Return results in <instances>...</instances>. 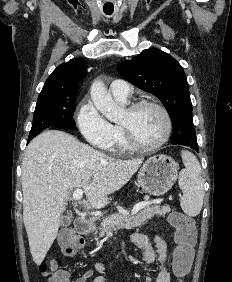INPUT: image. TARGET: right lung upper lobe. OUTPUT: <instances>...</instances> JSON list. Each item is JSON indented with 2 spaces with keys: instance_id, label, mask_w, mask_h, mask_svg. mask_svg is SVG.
Here are the masks:
<instances>
[{
  "instance_id": "right-lung-upper-lobe-1",
  "label": "right lung upper lobe",
  "mask_w": 232,
  "mask_h": 282,
  "mask_svg": "<svg viewBox=\"0 0 232 282\" xmlns=\"http://www.w3.org/2000/svg\"><path fill=\"white\" fill-rule=\"evenodd\" d=\"M86 74L84 59H72L60 64L47 78L40 95L77 94L79 83Z\"/></svg>"
}]
</instances>
